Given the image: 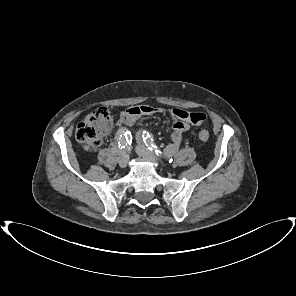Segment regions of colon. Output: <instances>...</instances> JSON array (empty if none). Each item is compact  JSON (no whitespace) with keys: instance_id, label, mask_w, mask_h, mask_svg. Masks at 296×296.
I'll list each match as a JSON object with an SVG mask.
<instances>
[{"instance_id":"colon-1","label":"colon","mask_w":296,"mask_h":296,"mask_svg":"<svg viewBox=\"0 0 296 296\" xmlns=\"http://www.w3.org/2000/svg\"><path fill=\"white\" fill-rule=\"evenodd\" d=\"M206 118L204 113H194L191 116L193 122H203ZM113 117L106 108H98L94 110L89 116L78 124L75 136L87 149H96L101 145L103 137L108 133L113 122ZM198 138L206 142L209 139V133L202 130L198 134Z\"/></svg>"}]
</instances>
